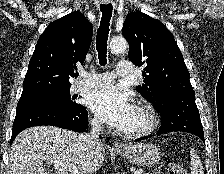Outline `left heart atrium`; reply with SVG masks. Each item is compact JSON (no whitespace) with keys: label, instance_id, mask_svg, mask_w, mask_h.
<instances>
[{"label":"left heart atrium","instance_id":"1","mask_svg":"<svg viewBox=\"0 0 224 174\" xmlns=\"http://www.w3.org/2000/svg\"><path fill=\"white\" fill-rule=\"evenodd\" d=\"M87 103L104 122L120 130L125 129L136 109L130 94L116 87L92 92Z\"/></svg>","mask_w":224,"mask_h":174}]
</instances>
